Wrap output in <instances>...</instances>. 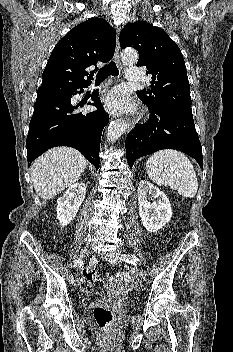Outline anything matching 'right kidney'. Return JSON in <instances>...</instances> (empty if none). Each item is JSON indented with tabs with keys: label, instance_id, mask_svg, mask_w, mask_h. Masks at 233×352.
<instances>
[{
	"label": "right kidney",
	"instance_id": "obj_1",
	"mask_svg": "<svg viewBox=\"0 0 233 352\" xmlns=\"http://www.w3.org/2000/svg\"><path fill=\"white\" fill-rule=\"evenodd\" d=\"M86 186L84 183H74L57 200V219L62 227L68 225L76 216L79 207L85 198Z\"/></svg>",
	"mask_w": 233,
	"mask_h": 352
}]
</instances>
